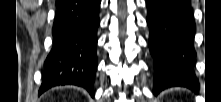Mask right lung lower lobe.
I'll return each mask as SVG.
<instances>
[{
	"mask_svg": "<svg viewBox=\"0 0 221 102\" xmlns=\"http://www.w3.org/2000/svg\"><path fill=\"white\" fill-rule=\"evenodd\" d=\"M100 2L57 1L53 44L44 63L39 94L54 86L77 85L94 97Z\"/></svg>",
	"mask_w": 221,
	"mask_h": 102,
	"instance_id": "1",
	"label": "right lung lower lobe"
}]
</instances>
